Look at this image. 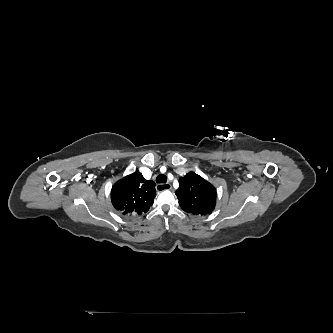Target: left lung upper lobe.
Masks as SVG:
<instances>
[{"label":"left lung upper lobe","mask_w":333,"mask_h":333,"mask_svg":"<svg viewBox=\"0 0 333 333\" xmlns=\"http://www.w3.org/2000/svg\"><path fill=\"white\" fill-rule=\"evenodd\" d=\"M175 194L181 208L193 215L210 214L215 208V187L193 172L180 177Z\"/></svg>","instance_id":"left-lung-upper-lobe-1"}]
</instances>
